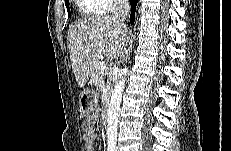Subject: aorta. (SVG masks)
Segmentation results:
<instances>
[{"mask_svg": "<svg viewBox=\"0 0 231 151\" xmlns=\"http://www.w3.org/2000/svg\"><path fill=\"white\" fill-rule=\"evenodd\" d=\"M121 73L123 76L115 85L108 109L107 138L109 144H115L117 139L118 116L128 68L125 66Z\"/></svg>", "mask_w": 231, "mask_h": 151, "instance_id": "obj_1", "label": "aorta"}]
</instances>
